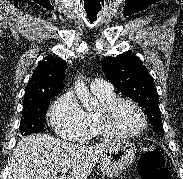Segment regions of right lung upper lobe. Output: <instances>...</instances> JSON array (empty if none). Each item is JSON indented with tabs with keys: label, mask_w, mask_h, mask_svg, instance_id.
Masks as SVG:
<instances>
[{
	"label": "right lung upper lobe",
	"mask_w": 183,
	"mask_h": 179,
	"mask_svg": "<svg viewBox=\"0 0 183 179\" xmlns=\"http://www.w3.org/2000/svg\"><path fill=\"white\" fill-rule=\"evenodd\" d=\"M66 67V62L54 55L40 61L28 81L23 104L58 95L64 87Z\"/></svg>",
	"instance_id": "obj_1"
}]
</instances>
